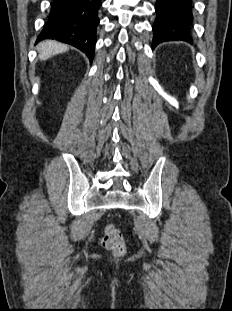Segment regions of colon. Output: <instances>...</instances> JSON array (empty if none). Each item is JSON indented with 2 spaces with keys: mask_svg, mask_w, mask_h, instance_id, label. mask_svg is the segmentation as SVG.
<instances>
[{
  "mask_svg": "<svg viewBox=\"0 0 232 311\" xmlns=\"http://www.w3.org/2000/svg\"><path fill=\"white\" fill-rule=\"evenodd\" d=\"M102 245L115 255H122L126 249L123 235L114 224H107L105 226Z\"/></svg>",
  "mask_w": 232,
  "mask_h": 311,
  "instance_id": "1",
  "label": "colon"
}]
</instances>
